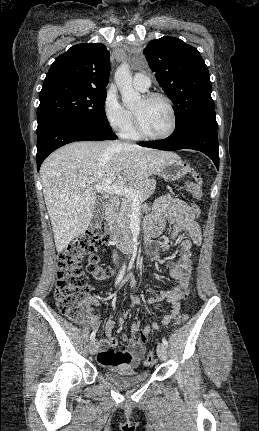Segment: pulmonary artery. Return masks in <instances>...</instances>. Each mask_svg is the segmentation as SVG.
<instances>
[{
  "label": "pulmonary artery",
  "instance_id": "pulmonary-artery-1",
  "mask_svg": "<svg viewBox=\"0 0 259 431\" xmlns=\"http://www.w3.org/2000/svg\"><path fill=\"white\" fill-rule=\"evenodd\" d=\"M151 81L150 78L143 73L135 74L133 78V85L140 91H147L150 87Z\"/></svg>",
  "mask_w": 259,
  "mask_h": 431
}]
</instances>
